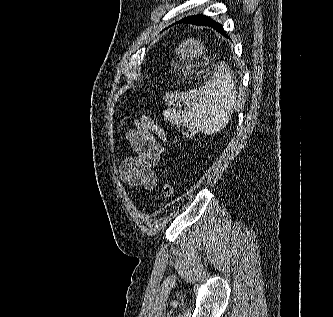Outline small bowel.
<instances>
[{
    "label": "small bowel",
    "mask_w": 333,
    "mask_h": 317,
    "mask_svg": "<svg viewBox=\"0 0 333 317\" xmlns=\"http://www.w3.org/2000/svg\"><path fill=\"white\" fill-rule=\"evenodd\" d=\"M126 139L135 156L125 158L119 166L120 179L130 186L152 190L157 184L155 168L164 153L167 142L165 130L151 118L140 115L134 127L126 133Z\"/></svg>",
    "instance_id": "1"
}]
</instances>
